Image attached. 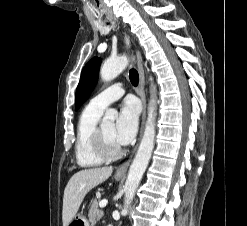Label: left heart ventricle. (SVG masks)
<instances>
[{
    "label": "left heart ventricle",
    "mask_w": 247,
    "mask_h": 226,
    "mask_svg": "<svg viewBox=\"0 0 247 226\" xmlns=\"http://www.w3.org/2000/svg\"><path fill=\"white\" fill-rule=\"evenodd\" d=\"M102 132L104 140L109 151H115L120 148V145L116 142L114 138V124L108 123L102 125Z\"/></svg>",
    "instance_id": "1"
}]
</instances>
